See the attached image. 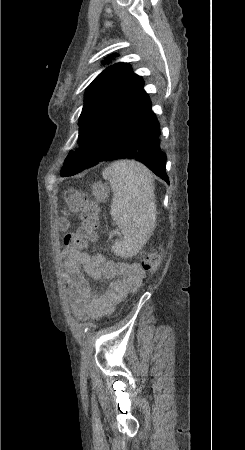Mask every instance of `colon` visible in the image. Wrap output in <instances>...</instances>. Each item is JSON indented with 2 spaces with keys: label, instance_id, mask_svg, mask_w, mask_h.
<instances>
[{
  "label": "colon",
  "instance_id": "5ec220e1",
  "mask_svg": "<svg viewBox=\"0 0 245 450\" xmlns=\"http://www.w3.org/2000/svg\"><path fill=\"white\" fill-rule=\"evenodd\" d=\"M63 197L66 203L64 215L79 214L81 224L75 232L66 234L62 243L66 249L81 254L88 243L97 241V231L100 228L98 206L86 193L75 189H67ZM66 223V219L63 218V228L66 227ZM159 263L160 257L157 253H149L140 260L141 267L148 273H154Z\"/></svg>",
  "mask_w": 245,
  "mask_h": 450
}]
</instances>
